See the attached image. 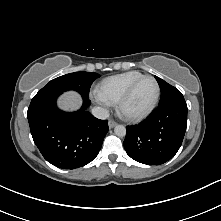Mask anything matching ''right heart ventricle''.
I'll use <instances>...</instances> for the list:
<instances>
[{
	"instance_id": "1",
	"label": "right heart ventricle",
	"mask_w": 221,
	"mask_h": 221,
	"mask_svg": "<svg viewBox=\"0 0 221 221\" xmlns=\"http://www.w3.org/2000/svg\"><path fill=\"white\" fill-rule=\"evenodd\" d=\"M142 76L143 74L138 71H128L110 76L99 84L97 89L98 97L106 103H118L129 86Z\"/></svg>"
}]
</instances>
